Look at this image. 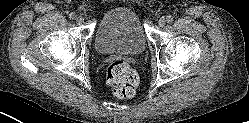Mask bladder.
Returning a JSON list of instances; mask_svg holds the SVG:
<instances>
[{
  "label": "bladder",
  "mask_w": 249,
  "mask_h": 123,
  "mask_svg": "<svg viewBox=\"0 0 249 123\" xmlns=\"http://www.w3.org/2000/svg\"><path fill=\"white\" fill-rule=\"evenodd\" d=\"M148 38L137 9L131 4L114 7L98 23L94 46L101 54H139L147 47Z\"/></svg>",
  "instance_id": "1"
}]
</instances>
